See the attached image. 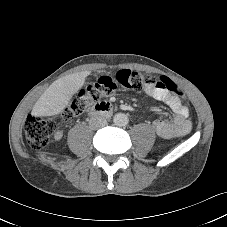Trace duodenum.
I'll use <instances>...</instances> for the list:
<instances>
[{
  "label": "duodenum",
  "mask_w": 227,
  "mask_h": 227,
  "mask_svg": "<svg viewBox=\"0 0 227 227\" xmlns=\"http://www.w3.org/2000/svg\"><path fill=\"white\" fill-rule=\"evenodd\" d=\"M113 112L112 105L108 102H100L94 105L88 112L90 116H109Z\"/></svg>",
  "instance_id": "410a0bca"
}]
</instances>
